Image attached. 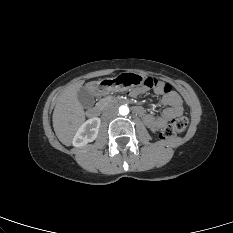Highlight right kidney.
Returning <instances> with one entry per match:
<instances>
[{
    "label": "right kidney",
    "instance_id": "ca27d5eb",
    "mask_svg": "<svg viewBox=\"0 0 233 233\" xmlns=\"http://www.w3.org/2000/svg\"><path fill=\"white\" fill-rule=\"evenodd\" d=\"M101 120L98 117L91 118L84 122L73 138V146L81 147L94 141L98 136Z\"/></svg>",
    "mask_w": 233,
    "mask_h": 233
}]
</instances>
